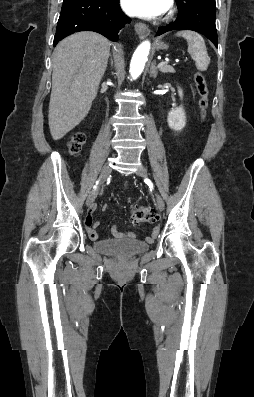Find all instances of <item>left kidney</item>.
<instances>
[{
  "label": "left kidney",
  "mask_w": 254,
  "mask_h": 397,
  "mask_svg": "<svg viewBox=\"0 0 254 397\" xmlns=\"http://www.w3.org/2000/svg\"><path fill=\"white\" fill-rule=\"evenodd\" d=\"M180 98L183 97L182 89H178ZM168 125L171 129L179 131L182 130L186 125V116L182 106L172 109L168 113L167 118Z\"/></svg>",
  "instance_id": "5707ae66"
}]
</instances>
